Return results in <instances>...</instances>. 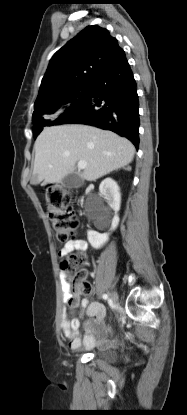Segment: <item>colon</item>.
Masks as SVG:
<instances>
[{
    "label": "colon",
    "instance_id": "5ec220e1",
    "mask_svg": "<svg viewBox=\"0 0 187 415\" xmlns=\"http://www.w3.org/2000/svg\"><path fill=\"white\" fill-rule=\"evenodd\" d=\"M47 209L51 223L61 243L68 242L70 235L79 227V219L73 207V196L70 189L61 184H50L47 187ZM85 263L84 256L75 253L62 260L61 266L74 272L71 290L73 294L79 291L88 292L90 287L82 281L83 274L79 271Z\"/></svg>",
    "mask_w": 187,
    "mask_h": 415
}]
</instances>
